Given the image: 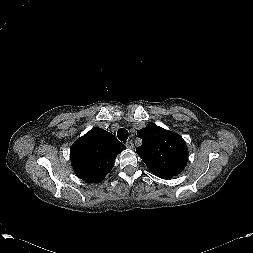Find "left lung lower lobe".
I'll return each mask as SVG.
<instances>
[{
    "label": "left lung lower lobe",
    "instance_id": "0a47b994",
    "mask_svg": "<svg viewBox=\"0 0 253 253\" xmlns=\"http://www.w3.org/2000/svg\"><path fill=\"white\" fill-rule=\"evenodd\" d=\"M160 178H162V179H170V178H172V177L160 176Z\"/></svg>",
    "mask_w": 253,
    "mask_h": 253
}]
</instances>
